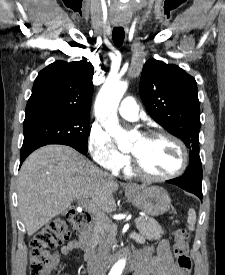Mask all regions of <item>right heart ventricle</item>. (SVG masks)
I'll return each instance as SVG.
<instances>
[{"instance_id":"obj_1","label":"right heart ventricle","mask_w":225,"mask_h":275,"mask_svg":"<svg viewBox=\"0 0 225 275\" xmlns=\"http://www.w3.org/2000/svg\"><path fill=\"white\" fill-rule=\"evenodd\" d=\"M125 173H126L127 175H130V174H131V171H130L129 169H125Z\"/></svg>"}]
</instances>
